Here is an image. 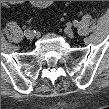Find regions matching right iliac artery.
<instances>
[{"label": "right iliac artery", "instance_id": "82829eb1", "mask_svg": "<svg viewBox=\"0 0 109 109\" xmlns=\"http://www.w3.org/2000/svg\"><path fill=\"white\" fill-rule=\"evenodd\" d=\"M28 32H30L29 29L25 30V31H24V34L26 35Z\"/></svg>", "mask_w": 109, "mask_h": 109}]
</instances>
